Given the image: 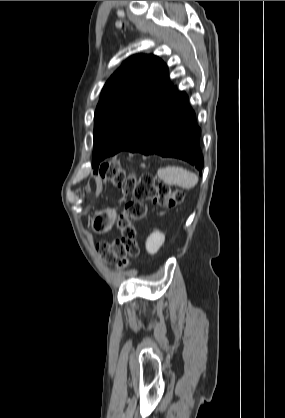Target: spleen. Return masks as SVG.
<instances>
[{"label": "spleen", "mask_w": 285, "mask_h": 418, "mask_svg": "<svg viewBox=\"0 0 285 418\" xmlns=\"http://www.w3.org/2000/svg\"><path fill=\"white\" fill-rule=\"evenodd\" d=\"M158 177L166 184L176 185L185 189L193 188L198 182L196 174L178 166L160 168Z\"/></svg>", "instance_id": "obj_1"}]
</instances>
